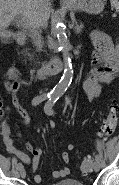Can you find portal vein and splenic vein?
<instances>
[{
    "label": "portal vein and splenic vein",
    "instance_id": "1",
    "mask_svg": "<svg viewBox=\"0 0 119 185\" xmlns=\"http://www.w3.org/2000/svg\"><path fill=\"white\" fill-rule=\"evenodd\" d=\"M20 25L24 28H27V29H31L32 31H35L34 28L31 26V24L26 21L25 19H23L21 22H20Z\"/></svg>",
    "mask_w": 119,
    "mask_h": 185
}]
</instances>
